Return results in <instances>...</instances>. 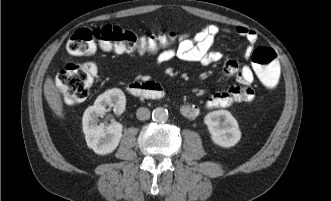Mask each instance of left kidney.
Returning a JSON list of instances; mask_svg holds the SVG:
<instances>
[{"label": "left kidney", "instance_id": "5707ae66", "mask_svg": "<svg viewBox=\"0 0 331 201\" xmlns=\"http://www.w3.org/2000/svg\"><path fill=\"white\" fill-rule=\"evenodd\" d=\"M204 122L211 134L212 141L216 145L229 148L239 142L241 131L237 120L229 111H212L205 116Z\"/></svg>", "mask_w": 331, "mask_h": 201}]
</instances>
